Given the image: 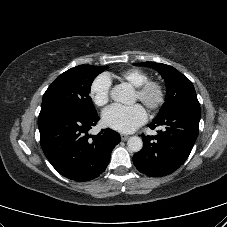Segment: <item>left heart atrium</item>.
Returning <instances> with one entry per match:
<instances>
[{"mask_svg":"<svg viewBox=\"0 0 227 227\" xmlns=\"http://www.w3.org/2000/svg\"><path fill=\"white\" fill-rule=\"evenodd\" d=\"M102 118L105 125L111 129L130 133L147 121V113L140 104L132 106L114 104L104 110Z\"/></svg>","mask_w":227,"mask_h":227,"instance_id":"1","label":"left heart atrium"}]
</instances>
